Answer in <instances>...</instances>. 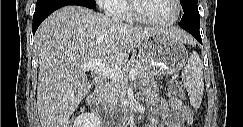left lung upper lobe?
Masks as SVG:
<instances>
[{
  "instance_id": "left-lung-upper-lobe-1",
  "label": "left lung upper lobe",
  "mask_w": 243,
  "mask_h": 127,
  "mask_svg": "<svg viewBox=\"0 0 243 127\" xmlns=\"http://www.w3.org/2000/svg\"><path fill=\"white\" fill-rule=\"evenodd\" d=\"M181 5L184 10L197 9V0H181Z\"/></svg>"
}]
</instances>
